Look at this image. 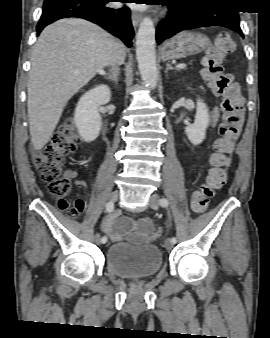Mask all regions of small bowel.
<instances>
[{
    "label": "small bowel",
    "mask_w": 270,
    "mask_h": 338,
    "mask_svg": "<svg viewBox=\"0 0 270 338\" xmlns=\"http://www.w3.org/2000/svg\"><path fill=\"white\" fill-rule=\"evenodd\" d=\"M218 114V108L212 109V117L215 118ZM82 200V199H76ZM83 201V200H82ZM84 203V201H83ZM118 211L107 215L102 224V231L107 234L112 240H137L142 242H153L157 239L154 227L149 219H140L133 224V229H130L128 217L118 219ZM137 225V226H134Z\"/></svg>",
    "instance_id": "c3829d8e"
}]
</instances>
